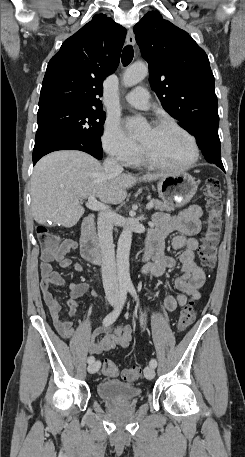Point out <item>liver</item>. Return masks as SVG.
Returning a JSON list of instances; mask_svg holds the SVG:
<instances>
[{
    "label": "liver",
    "instance_id": "6515ba94",
    "mask_svg": "<svg viewBox=\"0 0 245 457\" xmlns=\"http://www.w3.org/2000/svg\"><path fill=\"white\" fill-rule=\"evenodd\" d=\"M162 172L140 178L126 172L107 174L99 160L82 150H56L35 164L31 176L32 214L39 224L73 226L84 214L80 198L96 194L102 202L119 204L137 180H156Z\"/></svg>",
    "mask_w": 245,
    "mask_h": 457
}]
</instances>
